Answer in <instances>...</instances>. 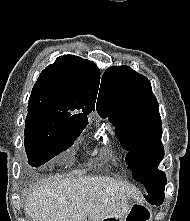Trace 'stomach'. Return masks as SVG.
I'll return each instance as SVG.
<instances>
[{
	"mask_svg": "<svg viewBox=\"0 0 190 221\" xmlns=\"http://www.w3.org/2000/svg\"><path fill=\"white\" fill-rule=\"evenodd\" d=\"M128 212H120V217L104 216L101 221H146V218H133V217H151L149 208H145L144 204H126Z\"/></svg>",
	"mask_w": 190,
	"mask_h": 221,
	"instance_id": "0dacf381",
	"label": "stomach"
}]
</instances>
